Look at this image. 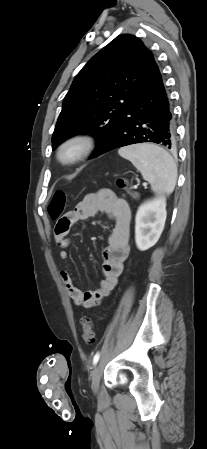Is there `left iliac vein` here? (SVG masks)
Wrapping results in <instances>:
<instances>
[{"instance_id":"1","label":"left iliac vein","mask_w":207,"mask_h":449,"mask_svg":"<svg viewBox=\"0 0 207 449\" xmlns=\"http://www.w3.org/2000/svg\"><path fill=\"white\" fill-rule=\"evenodd\" d=\"M102 375V367L100 364L96 365L91 371V388L96 393L99 390L100 379Z\"/></svg>"}]
</instances>
